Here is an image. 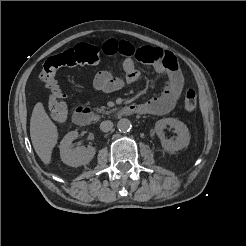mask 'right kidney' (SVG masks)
<instances>
[{"label":"right kidney","instance_id":"right-kidney-1","mask_svg":"<svg viewBox=\"0 0 246 246\" xmlns=\"http://www.w3.org/2000/svg\"><path fill=\"white\" fill-rule=\"evenodd\" d=\"M78 138L77 131H71L62 139L59 149L63 163L72 167H79L88 164L95 156L94 147L83 146L72 148V142Z\"/></svg>","mask_w":246,"mask_h":246}]
</instances>
